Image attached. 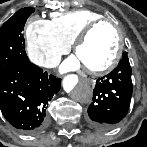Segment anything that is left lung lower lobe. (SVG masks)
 Returning a JSON list of instances; mask_svg holds the SVG:
<instances>
[{"label":"left lung lower lobe","instance_id":"obj_1","mask_svg":"<svg viewBox=\"0 0 147 147\" xmlns=\"http://www.w3.org/2000/svg\"><path fill=\"white\" fill-rule=\"evenodd\" d=\"M131 67L126 55L108 75L96 81L88 108V123L99 130L116 126L128 113L131 96Z\"/></svg>","mask_w":147,"mask_h":147}]
</instances>
